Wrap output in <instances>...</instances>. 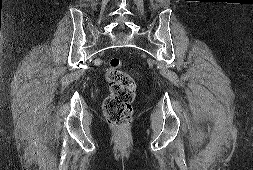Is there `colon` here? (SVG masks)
Wrapping results in <instances>:
<instances>
[{"label": "colon", "mask_w": 253, "mask_h": 170, "mask_svg": "<svg viewBox=\"0 0 253 170\" xmlns=\"http://www.w3.org/2000/svg\"><path fill=\"white\" fill-rule=\"evenodd\" d=\"M106 82L110 88V95L103 105L106 119L114 128H124L129 125L132 117L135 81L123 69L122 61L112 58L106 71Z\"/></svg>", "instance_id": "obj_1"}]
</instances>
